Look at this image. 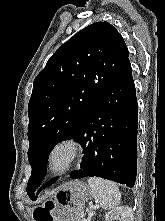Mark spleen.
<instances>
[{
    "label": "spleen",
    "mask_w": 165,
    "mask_h": 221,
    "mask_svg": "<svg viewBox=\"0 0 165 221\" xmlns=\"http://www.w3.org/2000/svg\"><path fill=\"white\" fill-rule=\"evenodd\" d=\"M88 185L92 189V196L103 209H113L120 204L121 193L114 182L93 177L88 179Z\"/></svg>",
    "instance_id": "3e777b00"
}]
</instances>
